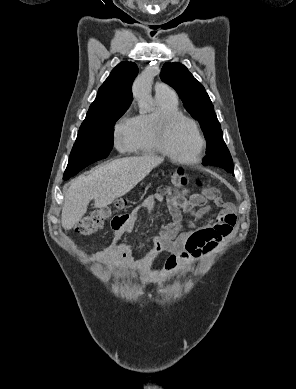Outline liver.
I'll use <instances>...</instances> for the list:
<instances>
[{"label": "liver", "mask_w": 296, "mask_h": 389, "mask_svg": "<svg viewBox=\"0 0 296 389\" xmlns=\"http://www.w3.org/2000/svg\"><path fill=\"white\" fill-rule=\"evenodd\" d=\"M164 161L156 155L116 159L91 170L75 179L64 193L62 227L72 229L87 212L94 200L96 208L110 205L124 196Z\"/></svg>", "instance_id": "liver-1"}]
</instances>
